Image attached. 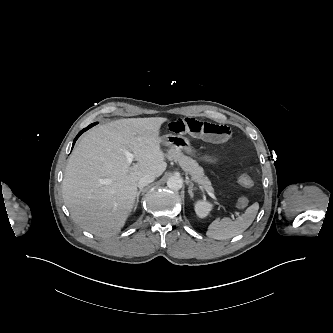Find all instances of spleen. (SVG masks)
I'll return each instance as SVG.
<instances>
[{"label": "spleen", "instance_id": "3e777b00", "mask_svg": "<svg viewBox=\"0 0 333 333\" xmlns=\"http://www.w3.org/2000/svg\"><path fill=\"white\" fill-rule=\"evenodd\" d=\"M259 209V204L255 202L247 208L244 214L231 220L230 218H217L210 223L206 235L217 240L230 239L244 232L254 221Z\"/></svg>", "mask_w": 333, "mask_h": 333}]
</instances>
